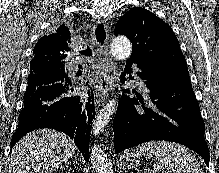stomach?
Wrapping results in <instances>:
<instances>
[{"label": "stomach", "mask_w": 219, "mask_h": 173, "mask_svg": "<svg viewBox=\"0 0 219 173\" xmlns=\"http://www.w3.org/2000/svg\"><path fill=\"white\" fill-rule=\"evenodd\" d=\"M142 161L140 156H137L135 153H130L126 155L125 164L129 168H135L138 165H140V162Z\"/></svg>", "instance_id": "obj_1"}]
</instances>
